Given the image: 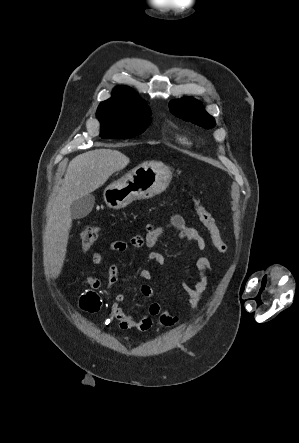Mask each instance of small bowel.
Wrapping results in <instances>:
<instances>
[{
    "mask_svg": "<svg viewBox=\"0 0 299 443\" xmlns=\"http://www.w3.org/2000/svg\"><path fill=\"white\" fill-rule=\"evenodd\" d=\"M174 230L180 239L192 241L198 251H204L206 249L205 240L199 234V232L188 226L181 215H172L166 226H155L149 224L146 227V231L143 235L133 236L129 242L117 240L112 242L110 248L114 252H125L130 246L134 248H140L146 246L148 249H153L159 238L167 231ZM148 261L161 268L165 264L164 256L158 252L151 250L147 255ZM104 261V255L101 252H97L93 255L94 264H102ZM195 267L198 272V280L193 284L182 283V288L188 295L189 306L192 313H195L199 303L201 301L202 293L206 289L208 281V273L211 270V260L208 255L200 256L196 262ZM119 269L116 265H112L108 269L107 278L102 281L95 276H88L86 278V284L89 286V290L85 291L80 297V307L88 312L95 313L101 308V300L97 290L105 287L106 290H111L118 281ZM140 279L150 281L153 275L148 269H141L138 272ZM140 292L147 298L154 297V290L148 284H143L140 287ZM126 299V295L123 292H118L113 295L112 305L110 309L109 319L116 320L118 327L122 330L136 329L140 332H147L153 327L168 328L176 324L178 317L176 314L169 310L163 309L159 302L153 301L150 303L147 314L141 319L127 314L121 307V304Z\"/></svg>",
    "mask_w": 299,
    "mask_h": 443,
    "instance_id": "c3829d8e",
    "label": "small bowel"
}]
</instances>
